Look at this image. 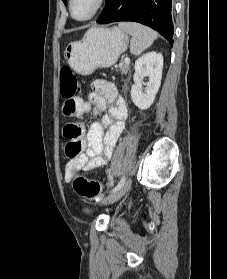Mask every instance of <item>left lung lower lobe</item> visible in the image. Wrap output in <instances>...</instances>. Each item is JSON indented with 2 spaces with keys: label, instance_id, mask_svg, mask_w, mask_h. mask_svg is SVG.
Segmentation results:
<instances>
[{
  "label": "left lung lower lobe",
  "instance_id": "1",
  "mask_svg": "<svg viewBox=\"0 0 227 279\" xmlns=\"http://www.w3.org/2000/svg\"><path fill=\"white\" fill-rule=\"evenodd\" d=\"M172 0H106L97 22H139L158 31L173 45Z\"/></svg>",
  "mask_w": 227,
  "mask_h": 279
}]
</instances>
